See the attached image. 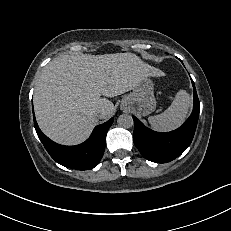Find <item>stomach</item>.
Returning a JSON list of instances; mask_svg holds the SVG:
<instances>
[{
  "label": "stomach",
  "mask_w": 231,
  "mask_h": 231,
  "mask_svg": "<svg viewBox=\"0 0 231 231\" xmlns=\"http://www.w3.org/2000/svg\"><path fill=\"white\" fill-rule=\"evenodd\" d=\"M121 109L130 110L142 116H146L156 109L154 83L150 77L143 78L132 89V92L123 97Z\"/></svg>",
  "instance_id": "1"
}]
</instances>
